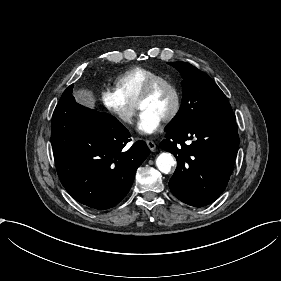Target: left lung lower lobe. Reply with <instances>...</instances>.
Masks as SVG:
<instances>
[{
  "instance_id": "obj_1",
  "label": "left lung lower lobe",
  "mask_w": 281,
  "mask_h": 281,
  "mask_svg": "<svg viewBox=\"0 0 281 281\" xmlns=\"http://www.w3.org/2000/svg\"><path fill=\"white\" fill-rule=\"evenodd\" d=\"M165 137L161 148L177 159L169 181L173 195L194 207L214 202L227 186L238 151L235 115L169 130Z\"/></svg>"
}]
</instances>
